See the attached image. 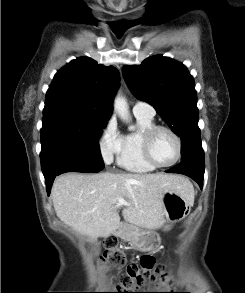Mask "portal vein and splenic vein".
I'll return each instance as SVG.
<instances>
[{
    "instance_id": "portal-vein-and-splenic-vein-1",
    "label": "portal vein and splenic vein",
    "mask_w": 245,
    "mask_h": 293,
    "mask_svg": "<svg viewBox=\"0 0 245 293\" xmlns=\"http://www.w3.org/2000/svg\"><path fill=\"white\" fill-rule=\"evenodd\" d=\"M114 201H117L118 205H129V203L126 202L123 198H117Z\"/></svg>"
}]
</instances>
